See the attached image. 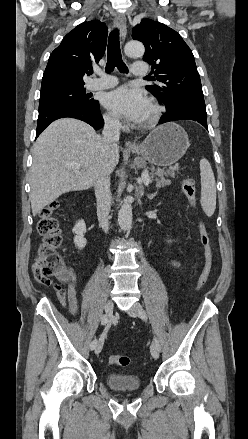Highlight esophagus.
<instances>
[{"label":"esophagus","mask_w":248,"mask_h":439,"mask_svg":"<svg viewBox=\"0 0 248 439\" xmlns=\"http://www.w3.org/2000/svg\"><path fill=\"white\" fill-rule=\"evenodd\" d=\"M114 25L119 28L120 36L123 40L126 37V18L123 14H116L114 18ZM125 147L127 149H132L135 147V143L127 140L125 141Z\"/></svg>","instance_id":"1"}]
</instances>
